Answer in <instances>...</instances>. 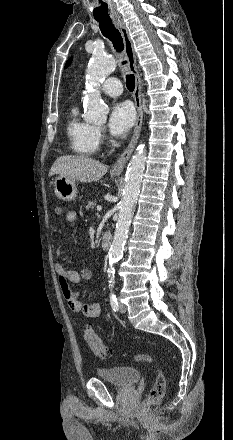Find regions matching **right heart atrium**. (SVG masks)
Returning <instances> with one entry per match:
<instances>
[{
    "mask_svg": "<svg viewBox=\"0 0 233 440\" xmlns=\"http://www.w3.org/2000/svg\"><path fill=\"white\" fill-rule=\"evenodd\" d=\"M97 134H98L99 140L102 139L103 135H102L101 131L97 130Z\"/></svg>",
    "mask_w": 233,
    "mask_h": 440,
    "instance_id": "right-heart-atrium-1",
    "label": "right heart atrium"
}]
</instances>
